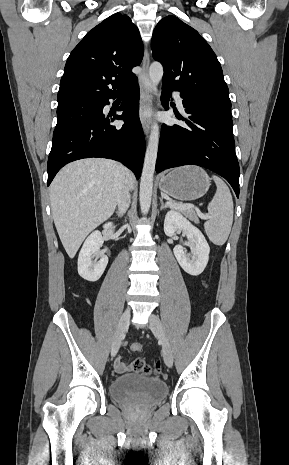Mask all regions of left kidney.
Wrapping results in <instances>:
<instances>
[{
    "instance_id": "5707ae66",
    "label": "left kidney",
    "mask_w": 289,
    "mask_h": 465,
    "mask_svg": "<svg viewBox=\"0 0 289 465\" xmlns=\"http://www.w3.org/2000/svg\"><path fill=\"white\" fill-rule=\"evenodd\" d=\"M176 231H183L189 241L192 254H188L182 245H176L174 255L182 269L192 275H200L207 266L210 247L202 232L192 225L182 214L175 210L167 212L164 220V232L173 236Z\"/></svg>"
}]
</instances>
